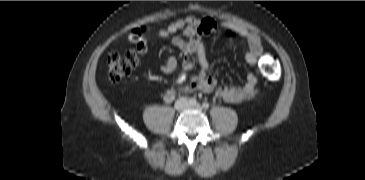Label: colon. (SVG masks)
<instances>
[{"mask_svg":"<svg viewBox=\"0 0 365 180\" xmlns=\"http://www.w3.org/2000/svg\"><path fill=\"white\" fill-rule=\"evenodd\" d=\"M145 29L135 28L129 33L132 42L140 41ZM139 59L135 51L113 52L108 57V75L112 82H119L137 67ZM263 75L270 81H277L280 78V65L276 55L266 53L260 62Z\"/></svg>","mask_w":365,"mask_h":180,"instance_id":"5ec220e1","label":"colon"}]
</instances>
